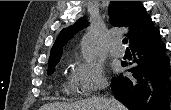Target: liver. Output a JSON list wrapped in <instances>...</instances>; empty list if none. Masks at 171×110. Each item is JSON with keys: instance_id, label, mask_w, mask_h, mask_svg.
<instances>
[{"instance_id": "1", "label": "liver", "mask_w": 171, "mask_h": 110, "mask_svg": "<svg viewBox=\"0 0 171 110\" xmlns=\"http://www.w3.org/2000/svg\"><path fill=\"white\" fill-rule=\"evenodd\" d=\"M40 110H126L115 98L93 96L77 103H49L43 105Z\"/></svg>"}]
</instances>
